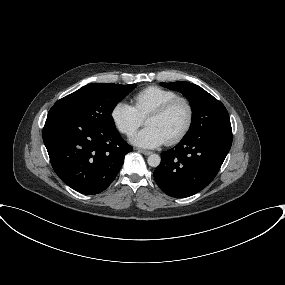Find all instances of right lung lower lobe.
<instances>
[{
    "instance_id": "obj_1",
    "label": "right lung lower lobe",
    "mask_w": 285,
    "mask_h": 285,
    "mask_svg": "<svg viewBox=\"0 0 285 285\" xmlns=\"http://www.w3.org/2000/svg\"><path fill=\"white\" fill-rule=\"evenodd\" d=\"M43 141L59 178L83 194L105 190L132 151L115 129L97 128L62 110H50Z\"/></svg>"
}]
</instances>
